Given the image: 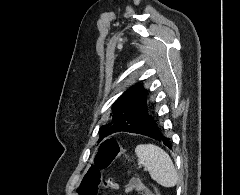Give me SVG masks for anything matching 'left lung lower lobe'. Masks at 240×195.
<instances>
[{"instance_id": "obj_1", "label": "left lung lower lobe", "mask_w": 240, "mask_h": 195, "mask_svg": "<svg viewBox=\"0 0 240 195\" xmlns=\"http://www.w3.org/2000/svg\"><path fill=\"white\" fill-rule=\"evenodd\" d=\"M122 131L137 133L152 137L158 141H162L166 146L171 148V144L167 138L156 127L154 120L148 115L147 108L142 111L134 121L128 124Z\"/></svg>"}]
</instances>
